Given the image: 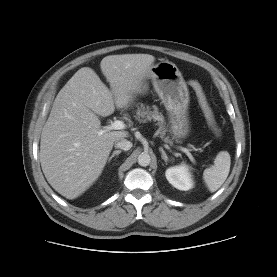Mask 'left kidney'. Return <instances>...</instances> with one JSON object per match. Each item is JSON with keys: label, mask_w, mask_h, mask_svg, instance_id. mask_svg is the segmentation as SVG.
Wrapping results in <instances>:
<instances>
[{"label": "left kidney", "mask_w": 277, "mask_h": 277, "mask_svg": "<svg viewBox=\"0 0 277 277\" xmlns=\"http://www.w3.org/2000/svg\"><path fill=\"white\" fill-rule=\"evenodd\" d=\"M168 182L178 190L187 191L193 188V180L187 165L170 167L165 172Z\"/></svg>", "instance_id": "5707ae66"}]
</instances>
